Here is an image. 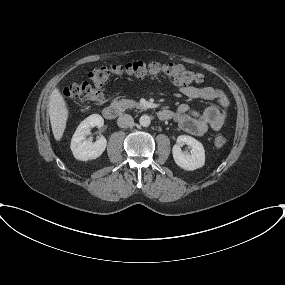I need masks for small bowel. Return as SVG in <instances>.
<instances>
[{
  "label": "small bowel",
  "instance_id": "c3829d8e",
  "mask_svg": "<svg viewBox=\"0 0 285 285\" xmlns=\"http://www.w3.org/2000/svg\"><path fill=\"white\" fill-rule=\"evenodd\" d=\"M179 91L189 99L215 100L217 105L209 106L203 112H198L187 104H181L176 112L169 110V119H173L182 130L195 136H203L208 132L218 133L223 130L229 100L221 89L212 86L187 85L181 86Z\"/></svg>",
  "mask_w": 285,
  "mask_h": 285
}]
</instances>
